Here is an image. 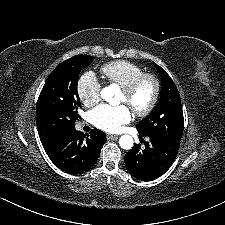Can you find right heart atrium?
Listing matches in <instances>:
<instances>
[{
  "mask_svg": "<svg viewBox=\"0 0 225 225\" xmlns=\"http://www.w3.org/2000/svg\"><path fill=\"white\" fill-rule=\"evenodd\" d=\"M77 94L86 107H92L99 102L101 83L93 71H85L79 77L77 82Z\"/></svg>",
  "mask_w": 225,
  "mask_h": 225,
  "instance_id": "obj_1",
  "label": "right heart atrium"
}]
</instances>
